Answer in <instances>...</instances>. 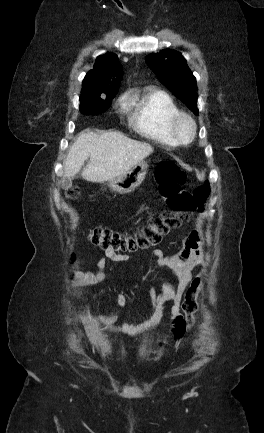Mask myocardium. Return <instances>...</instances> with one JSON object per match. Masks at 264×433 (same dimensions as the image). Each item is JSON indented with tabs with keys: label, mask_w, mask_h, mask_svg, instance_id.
Returning a JSON list of instances; mask_svg holds the SVG:
<instances>
[{
	"label": "myocardium",
	"mask_w": 264,
	"mask_h": 433,
	"mask_svg": "<svg viewBox=\"0 0 264 433\" xmlns=\"http://www.w3.org/2000/svg\"><path fill=\"white\" fill-rule=\"evenodd\" d=\"M187 123L190 126V135L188 138L182 137L180 133V125ZM169 131L177 144L186 145L191 143L197 135V124L192 116L184 112H178L171 117L169 121Z\"/></svg>",
	"instance_id": "1"
}]
</instances>
